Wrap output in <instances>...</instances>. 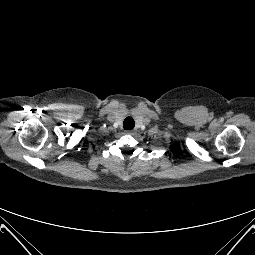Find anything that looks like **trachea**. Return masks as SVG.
Masks as SVG:
<instances>
[{
	"label": "trachea",
	"instance_id": "obj_1",
	"mask_svg": "<svg viewBox=\"0 0 255 255\" xmlns=\"http://www.w3.org/2000/svg\"><path fill=\"white\" fill-rule=\"evenodd\" d=\"M135 126V121L132 117L125 118L123 122V127L125 130H132Z\"/></svg>",
	"mask_w": 255,
	"mask_h": 255
}]
</instances>
